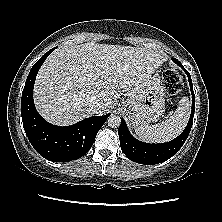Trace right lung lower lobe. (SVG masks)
I'll list each match as a JSON object with an SVG mask.
<instances>
[{"instance_id": "obj_1", "label": "right lung lower lobe", "mask_w": 222, "mask_h": 222, "mask_svg": "<svg viewBox=\"0 0 222 222\" xmlns=\"http://www.w3.org/2000/svg\"><path fill=\"white\" fill-rule=\"evenodd\" d=\"M55 48L46 52L31 68L22 92L21 115L24 130L34 149L50 161L68 162L89 151L110 113L92 116L66 127L52 125L38 114L33 102L35 78L41 65Z\"/></svg>"}]
</instances>
